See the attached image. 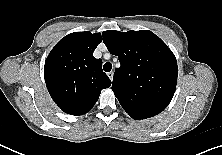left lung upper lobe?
I'll list each match as a JSON object with an SVG mask.
<instances>
[{
	"instance_id": "5c2ea615",
	"label": "left lung upper lobe",
	"mask_w": 222,
	"mask_h": 155,
	"mask_svg": "<svg viewBox=\"0 0 222 155\" xmlns=\"http://www.w3.org/2000/svg\"><path fill=\"white\" fill-rule=\"evenodd\" d=\"M103 42L118 56L112 90L133 119L162 112L170 103L177 84V61L173 52L149 30L104 31Z\"/></svg>"
}]
</instances>
